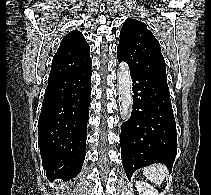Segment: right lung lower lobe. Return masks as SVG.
Here are the masks:
<instances>
[{
	"label": "right lung lower lobe",
	"instance_id": "obj_1",
	"mask_svg": "<svg viewBox=\"0 0 211 195\" xmlns=\"http://www.w3.org/2000/svg\"><path fill=\"white\" fill-rule=\"evenodd\" d=\"M91 64L48 81L38 123V144L50 180L72 179L81 171L89 118Z\"/></svg>",
	"mask_w": 211,
	"mask_h": 195
}]
</instances>
